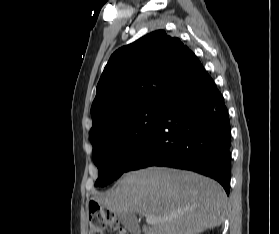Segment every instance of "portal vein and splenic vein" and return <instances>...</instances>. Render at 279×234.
<instances>
[{
	"label": "portal vein and splenic vein",
	"mask_w": 279,
	"mask_h": 234,
	"mask_svg": "<svg viewBox=\"0 0 279 234\" xmlns=\"http://www.w3.org/2000/svg\"><path fill=\"white\" fill-rule=\"evenodd\" d=\"M146 222L149 223V224H152V223H155L156 220L153 216L151 215H146Z\"/></svg>",
	"instance_id": "1"
}]
</instances>
